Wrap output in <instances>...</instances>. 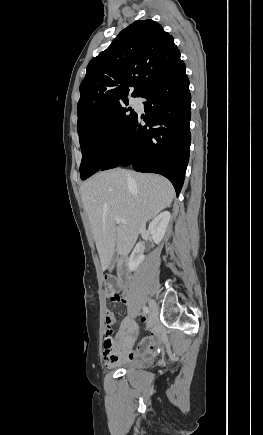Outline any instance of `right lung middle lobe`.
<instances>
[{
    "label": "right lung middle lobe",
    "mask_w": 263,
    "mask_h": 435,
    "mask_svg": "<svg viewBox=\"0 0 263 435\" xmlns=\"http://www.w3.org/2000/svg\"><path fill=\"white\" fill-rule=\"evenodd\" d=\"M124 104L128 105V101L124 100L108 107L92 121L77 128L82 151V180L102 168L135 122L138 114L131 107H124ZM110 137H113L115 145L108 147Z\"/></svg>",
    "instance_id": "dd1d6c3e"
}]
</instances>
